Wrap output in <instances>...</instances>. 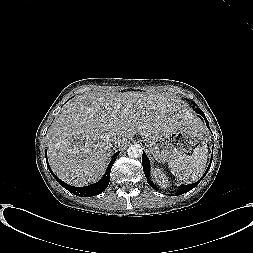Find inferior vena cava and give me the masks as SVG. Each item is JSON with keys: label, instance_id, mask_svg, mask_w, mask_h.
<instances>
[{"label": "inferior vena cava", "instance_id": "1", "mask_svg": "<svg viewBox=\"0 0 253 253\" xmlns=\"http://www.w3.org/2000/svg\"><path fill=\"white\" fill-rule=\"evenodd\" d=\"M110 143L116 148L121 149L123 147V142L119 134H112L110 136Z\"/></svg>", "mask_w": 253, "mask_h": 253}]
</instances>
